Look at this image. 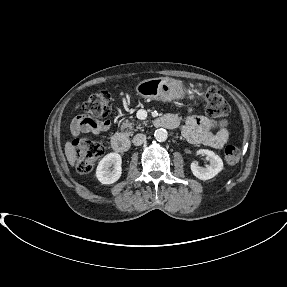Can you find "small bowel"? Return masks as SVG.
Wrapping results in <instances>:
<instances>
[{"label":"small bowel","instance_id":"small-bowel-1","mask_svg":"<svg viewBox=\"0 0 287 287\" xmlns=\"http://www.w3.org/2000/svg\"><path fill=\"white\" fill-rule=\"evenodd\" d=\"M189 116L181 127V131L186 139L193 144L205 145L211 148L220 149L228 141L229 133L226 128L212 132V122L210 119L196 113L193 108L188 109ZM172 118L176 125L179 119L175 115L168 116ZM111 124L108 121H96L87 116L77 115L71 122V132L77 136L81 133L101 134L110 130Z\"/></svg>","mask_w":287,"mask_h":287}]
</instances>
